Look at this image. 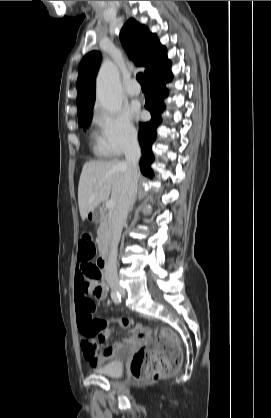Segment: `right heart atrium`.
I'll return each instance as SVG.
<instances>
[{"label":"right heart atrium","mask_w":271,"mask_h":418,"mask_svg":"<svg viewBox=\"0 0 271 418\" xmlns=\"http://www.w3.org/2000/svg\"><path fill=\"white\" fill-rule=\"evenodd\" d=\"M96 122L100 128L101 143L111 156H119L137 142V130L128 113L98 111Z\"/></svg>","instance_id":"obj_1"}]
</instances>
